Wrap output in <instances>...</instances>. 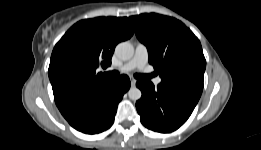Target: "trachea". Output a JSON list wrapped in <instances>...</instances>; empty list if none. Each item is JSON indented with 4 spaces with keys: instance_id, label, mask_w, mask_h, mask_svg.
<instances>
[{
    "instance_id": "obj_1",
    "label": "trachea",
    "mask_w": 261,
    "mask_h": 150,
    "mask_svg": "<svg viewBox=\"0 0 261 150\" xmlns=\"http://www.w3.org/2000/svg\"><path fill=\"white\" fill-rule=\"evenodd\" d=\"M119 74H120L119 71H111V72H107L106 73V75L110 76V77H118ZM152 76H153L152 74H149V75H146V74H134V77L136 79H143V80L149 79Z\"/></svg>"
}]
</instances>
